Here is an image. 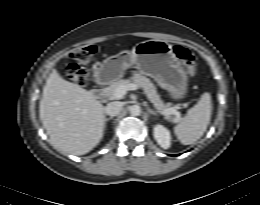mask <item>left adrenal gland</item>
Here are the masks:
<instances>
[{"instance_id": "a2214340", "label": "left adrenal gland", "mask_w": 260, "mask_h": 205, "mask_svg": "<svg viewBox=\"0 0 260 205\" xmlns=\"http://www.w3.org/2000/svg\"><path fill=\"white\" fill-rule=\"evenodd\" d=\"M147 111H148V113H150V114H152V115H157V113H156L153 109H151L150 107H148V106H147Z\"/></svg>"}]
</instances>
